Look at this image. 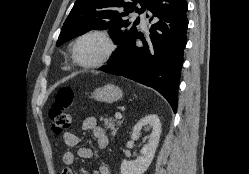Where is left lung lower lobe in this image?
<instances>
[{
	"label": "left lung lower lobe",
	"mask_w": 249,
	"mask_h": 174,
	"mask_svg": "<svg viewBox=\"0 0 249 174\" xmlns=\"http://www.w3.org/2000/svg\"><path fill=\"white\" fill-rule=\"evenodd\" d=\"M187 8L185 0H150L147 10L152 25L147 39L137 33L119 59L100 70L154 88L176 112L188 28ZM137 38L142 40V47L136 45Z\"/></svg>",
	"instance_id": "1"
}]
</instances>
